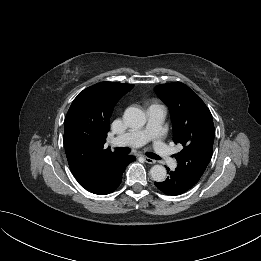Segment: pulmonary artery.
<instances>
[{"mask_svg":"<svg viewBox=\"0 0 261 261\" xmlns=\"http://www.w3.org/2000/svg\"><path fill=\"white\" fill-rule=\"evenodd\" d=\"M148 121L143 129L131 130L124 133L113 140L115 145H127L131 147H139L148 141L155 139L154 150L160 156L162 161L173 167L175 162L171 157L169 147L161 140L157 139L161 125L164 121L166 110L161 105H152L148 108Z\"/></svg>","mask_w":261,"mask_h":261,"instance_id":"e3ab8cb5","label":"pulmonary artery"}]
</instances>
